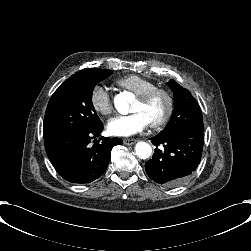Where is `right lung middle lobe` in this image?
<instances>
[{
	"label": "right lung middle lobe",
	"instance_id": "right-lung-middle-lobe-1",
	"mask_svg": "<svg viewBox=\"0 0 251 251\" xmlns=\"http://www.w3.org/2000/svg\"><path fill=\"white\" fill-rule=\"evenodd\" d=\"M112 70L87 68L76 72L51 96L43 124L44 140L72 130L92 131L103 126L92 103L95 85Z\"/></svg>",
	"mask_w": 251,
	"mask_h": 251
}]
</instances>
